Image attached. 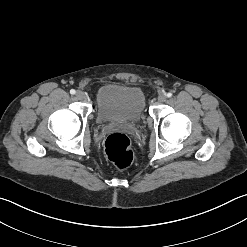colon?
Wrapping results in <instances>:
<instances>
[{
	"label": "colon",
	"instance_id": "obj_1",
	"mask_svg": "<svg viewBox=\"0 0 247 247\" xmlns=\"http://www.w3.org/2000/svg\"><path fill=\"white\" fill-rule=\"evenodd\" d=\"M105 152L109 160L118 168L125 169L133 161V150L129 137L123 133H112L105 140Z\"/></svg>",
	"mask_w": 247,
	"mask_h": 247
}]
</instances>
